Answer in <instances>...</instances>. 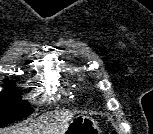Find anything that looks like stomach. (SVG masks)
<instances>
[{"instance_id": "0dacf381", "label": "stomach", "mask_w": 153, "mask_h": 134, "mask_svg": "<svg viewBox=\"0 0 153 134\" xmlns=\"http://www.w3.org/2000/svg\"><path fill=\"white\" fill-rule=\"evenodd\" d=\"M63 134H100V131L92 118L79 115L69 122Z\"/></svg>"}]
</instances>
